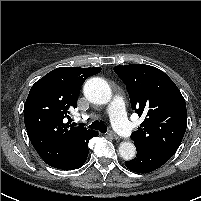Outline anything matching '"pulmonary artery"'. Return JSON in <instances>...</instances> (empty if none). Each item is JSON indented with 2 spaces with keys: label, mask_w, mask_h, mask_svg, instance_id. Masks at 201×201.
<instances>
[{
  "label": "pulmonary artery",
  "mask_w": 201,
  "mask_h": 201,
  "mask_svg": "<svg viewBox=\"0 0 201 201\" xmlns=\"http://www.w3.org/2000/svg\"><path fill=\"white\" fill-rule=\"evenodd\" d=\"M107 112L112 118L113 125L117 131L123 136L128 137L131 134L132 126L126 118L123 100L118 96L114 97Z\"/></svg>",
  "instance_id": "obj_1"
}]
</instances>
